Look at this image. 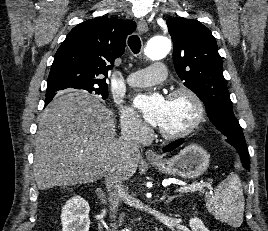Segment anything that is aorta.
Segmentation results:
<instances>
[{
  "label": "aorta",
  "mask_w": 268,
  "mask_h": 231,
  "mask_svg": "<svg viewBox=\"0 0 268 231\" xmlns=\"http://www.w3.org/2000/svg\"><path fill=\"white\" fill-rule=\"evenodd\" d=\"M171 49V41L165 36L153 37L144 49V54L151 60L163 59Z\"/></svg>",
  "instance_id": "762f6f07"
}]
</instances>
